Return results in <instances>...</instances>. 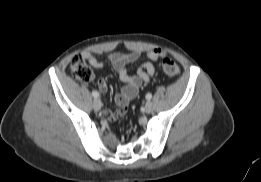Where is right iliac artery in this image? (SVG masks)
Masks as SVG:
<instances>
[{
	"label": "right iliac artery",
	"instance_id": "1",
	"mask_svg": "<svg viewBox=\"0 0 261 182\" xmlns=\"http://www.w3.org/2000/svg\"><path fill=\"white\" fill-rule=\"evenodd\" d=\"M92 96L94 97V98H98L100 95H99V93L97 92V91H92Z\"/></svg>",
	"mask_w": 261,
	"mask_h": 182
}]
</instances>
